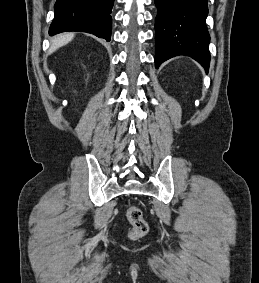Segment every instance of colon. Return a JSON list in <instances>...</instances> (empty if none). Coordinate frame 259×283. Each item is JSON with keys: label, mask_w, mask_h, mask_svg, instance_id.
Here are the masks:
<instances>
[{"label": "colon", "mask_w": 259, "mask_h": 283, "mask_svg": "<svg viewBox=\"0 0 259 283\" xmlns=\"http://www.w3.org/2000/svg\"><path fill=\"white\" fill-rule=\"evenodd\" d=\"M126 217L131 225L129 236L132 239H137L146 234L148 225L143 217L142 211L138 207H129L126 212Z\"/></svg>", "instance_id": "5ec220e1"}]
</instances>
